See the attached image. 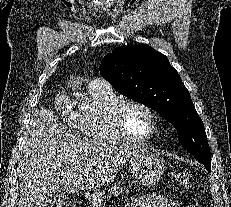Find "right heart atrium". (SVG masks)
I'll list each match as a JSON object with an SVG mask.
<instances>
[{"mask_svg": "<svg viewBox=\"0 0 231 207\" xmlns=\"http://www.w3.org/2000/svg\"><path fill=\"white\" fill-rule=\"evenodd\" d=\"M53 106L64 123L75 125L76 113L72 111L69 97L65 92L59 91L54 95Z\"/></svg>", "mask_w": 231, "mask_h": 207, "instance_id": "1", "label": "right heart atrium"}]
</instances>
